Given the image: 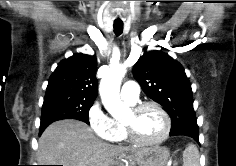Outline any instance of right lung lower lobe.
<instances>
[{
	"mask_svg": "<svg viewBox=\"0 0 236 166\" xmlns=\"http://www.w3.org/2000/svg\"><path fill=\"white\" fill-rule=\"evenodd\" d=\"M45 128H46V127H45ZM45 128H40L39 134H41V133L44 131Z\"/></svg>",
	"mask_w": 236,
	"mask_h": 166,
	"instance_id": "98d812e1",
	"label": "right lung lower lobe"
}]
</instances>
